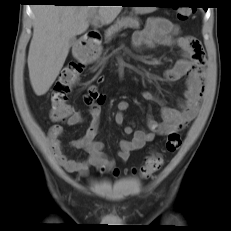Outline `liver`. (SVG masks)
<instances>
[{
	"label": "liver",
	"mask_w": 231,
	"mask_h": 231,
	"mask_svg": "<svg viewBox=\"0 0 231 231\" xmlns=\"http://www.w3.org/2000/svg\"><path fill=\"white\" fill-rule=\"evenodd\" d=\"M122 6L36 5L33 8V37L28 54L29 77L37 96L52 86L70 49V40L89 27L88 17L98 13V21L110 24Z\"/></svg>",
	"instance_id": "1"
}]
</instances>
